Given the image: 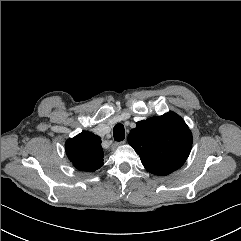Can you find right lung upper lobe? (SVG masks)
Wrapping results in <instances>:
<instances>
[{
  "instance_id": "1",
  "label": "right lung upper lobe",
  "mask_w": 241,
  "mask_h": 241,
  "mask_svg": "<svg viewBox=\"0 0 241 241\" xmlns=\"http://www.w3.org/2000/svg\"><path fill=\"white\" fill-rule=\"evenodd\" d=\"M66 154L73 166L81 171L93 172L103 163V149L99 136L84 131L65 144Z\"/></svg>"
}]
</instances>
